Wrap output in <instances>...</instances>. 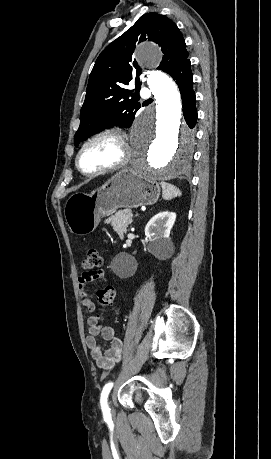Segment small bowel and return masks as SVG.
Returning a JSON list of instances; mask_svg holds the SVG:
<instances>
[{
    "label": "small bowel",
    "instance_id": "obj_1",
    "mask_svg": "<svg viewBox=\"0 0 271 459\" xmlns=\"http://www.w3.org/2000/svg\"><path fill=\"white\" fill-rule=\"evenodd\" d=\"M96 281L101 283L107 281L106 273L103 270L86 271L78 279L81 304L90 312L94 311L95 303L87 294V285ZM87 324L88 334L86 336V344L92 358L98 367L104 370H111L121 359L122 341L116 336L113 327L102 325L96 316H89ZM97 336H101L108 343L105 348L101 346Z\"/></svg>",
    "mask_w": 271,
    "mask_h": 459
}]
</instances>
